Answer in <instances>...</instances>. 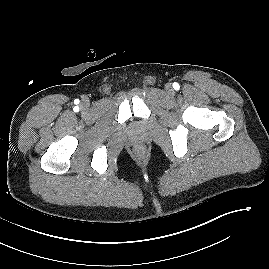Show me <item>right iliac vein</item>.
<instances>
[{
  "label": "right iliac vein",
  "instance_id": "right-iliac-vein-1",
  "mask_svg": "<svg viewBox=\"0 0 269 269\" xmlns=\"http://www.w3.org/2000/svg\"><path fill=\"white\" fill-rule=\"evenodd\" d=\"M88 104H89V103L85 102V103L83 104V107H87Z\"/></svg>",
  "mask_w": 269,
  "mask_h": 269
}]
</instances>
